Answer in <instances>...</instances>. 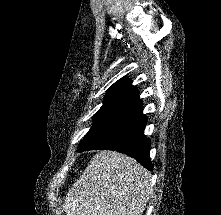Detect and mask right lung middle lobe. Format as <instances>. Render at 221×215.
Wrapping results in <instances>:
<instances>
[{
  "mask_svg": "<svg viewBox=\"0 0 221 215\" xmlns=\"http://www.w3.org/2000/svg\"><path fill=\"white\" fill-rule=\"evenodd\" d=\"M122 118L117 116H108V115H100L95 114L93 117V124L87 133L81 147L87 145L97 137L101 136L109 129H111L114 125H116Z\"/></svg>",
  "mask_w": 221,
  "mask_h": 215,
  "instance_id": "dd1d6c3e",
  "label": "right lung middle lobe"
}]
</instances>
